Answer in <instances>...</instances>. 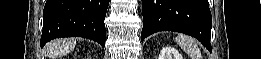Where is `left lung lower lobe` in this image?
Instances as JSON below:
<instances>
[{"label":"left lung lower lobe","mask_w":261,"mask_h":59,"mask_svg":"<svg viewBox=\"0 0 261 59\" xmlns=\"http://www.w3.org/2000/svg\"><path fill=\"white\" fill-rule=\"evenodd\" d=\"M141 40L158 31L197 38L210 52L211 12L208 0H143Z\"/></svg>","instance_id":"left-lung-lower-lobe-1"}]
</instances>
